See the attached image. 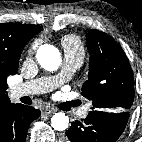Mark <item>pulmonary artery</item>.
Masks as SVG:
<instances>
[{
	"instance_id": "e3ab8cb5",
	"label": "pulmonary artery",
	"mask_w": 142,
	"mask_h": 142,
	"mask_svg": "<svg viewBox=\"0 0 142 142\" xmlns=\"http://www.w3.org/2000/svg\"><path fill=\"white\" fill-rule=\"evenodd\" d=\"M83 59L77 55L66 54L64 56L63 67L60 73L54 76L42 77L35 80L14 85L10 89L12 98H19L25 95L40 94L52 91L62 83L69 80L82 65ZM87 108L79 112V116L84 118L87 115Z\"/></svg>"
}]
</instances>
